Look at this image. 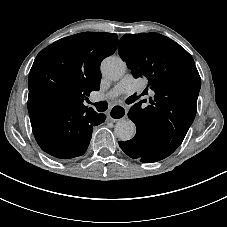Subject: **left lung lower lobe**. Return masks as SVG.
Here are the masks:
<instances>
[{
    "mask_svg": "<svg viewBox=\"0 0 227 227\" xmlns=\"http://www.w3.org/2000/svg\"><path fill=\"white\" fill-rule=\"evenodd\" d=\"M137 112L129 111V118L135 123ZM137 127V126H136ZM121 149L131 158L144 163H153L172 154L177 148L156 139L144 128L137 127L136 135L129 141H119Z\"/></svg>",
    "mask_w": 227,
    "mask_h": 227,
    "instance_id": "left-lung-lower-lobe-1",
    "label": "left lung lower lobe"
}]
</instances>
